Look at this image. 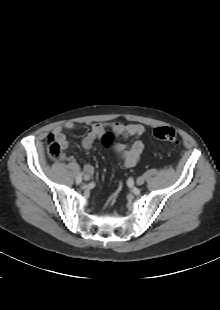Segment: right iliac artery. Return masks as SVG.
<instances>
[{"label":"right iliac artery","mask_w":220,"mask_h":310,"mask_svg":"<svg viewBox=\"0 0 220 310\" xmlns=\"http://www.w3.org/2000/svg\"><path fill=\"white\" fill-rule=\"evenodd\" d=\"M82 181V173H79L78 176L76 177V183L80 184Z\"/></svg>","instance_id":"1"}]
</instances>
